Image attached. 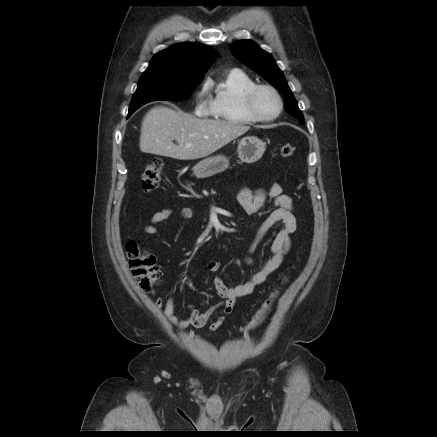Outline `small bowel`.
Instances as JSON below:
<instances>
[{
    "label": "small bowel",
    "mask_w": 437,
    "mask_h": 437,
    "mask_svg": "<svg viewBox=\"0 0 437 437\" xmlns=\"http://www.w3.org/2000/svg\"><path fill=\"white\" fill-rule=\"evenodd\" d=\"M237 201L247 215L257 214L269 201L274 204L275 209L262 223L257 232V236L250 247V253H253L267 232L275 224L281 223V228L277 232L271 245V256L257 270L251 279L244 284L230 287L224 283L219 276H215L213 283L217 294L223 299V301L205 312H201L198 309L191 307L187 317L179 318L175 313L173 297H169L165 301L162 298H157L155 302L156 306L163 309V314L166 319L179 329H186L188 327L202 328L210 322L217 309L221 308L222 313L209 327L212 331L218 329L232 313L236 300L251 294L258 285L263 283L282 264L284 257L290 249V236L296 231L297 222L293 214L292 199L290 196L283 193L280 184L273 183L267 189H258L254 191L244 187L239 191ZM177 212L183 219H190L194 216L193 210L188 207L178 208ZM173 213L174 209L172 208H165L156 212L152 216L150 223L145 226L143 230L144 234H158V224L170 218ZM246 262L251 264V258H247ZM207 269L212 273H216L220 269V263L210 261L207 264Z\"/></svg>",
    "instance_id": "small-bowel-1"
}]
</instances>
